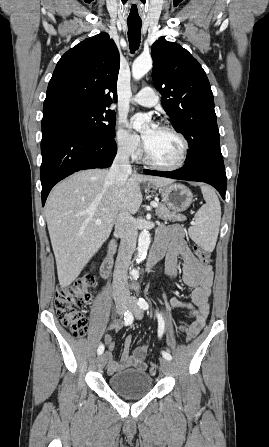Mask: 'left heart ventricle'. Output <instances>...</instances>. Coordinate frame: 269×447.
<instances>
[{
    "label": "left heart ventricle",
    "mask_w": 269,
    "mask_h": 447,
    "mask_svg": "<svg viewBox=\"0 0 269 447\" xmlns=\"http://www.w3.org/2000/svg\"><path fill=\"white\" fill-rule=\"evenodd\" d=\"M143 138L154 161L164 165L177 163L183 143L176 134L158 126H150L143 132Z\"/></svg>",
    "instance_id": "left-heart-ventricle-1"
}]
</instances>
